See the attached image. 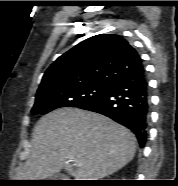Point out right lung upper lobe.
Wrapping results in <instances>:
<instances>
[{
	"label": "right lung upper lobe",
	"mask_w": 178,
	"mask_h": 186,
	"mask_svg": "<svg viewBox=\"0 0 178 186\" xmlns=\"http://www.w3.org/2000/svg\"><path fill=\"white\" fill-rule=\"evenodd\" d=\"M141 67L139 54L124 38L100 34L60 56L45 72L37 92L90 83L110 84Z\"/></svg>",
	"instance_id": "1"
}]
</instances>
